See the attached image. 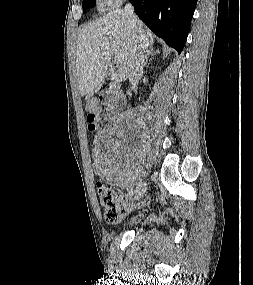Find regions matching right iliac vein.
Instances as JSON below:
<instances>
[{"label":"right iliac vein","instance_id":"right-iliac-vein-1","mask_svg":"<svg viewBox=\"0 0 253 285\" xmlns=\"http://www.w3.org/2000/svg\"><path fill=\"white\" fill-rule=\"evenodd\" d=\"M146 192V184L140 183L135 189V199H140Z\"/></svg>","mask_w":253,"mask_h":285}]
</instances>
